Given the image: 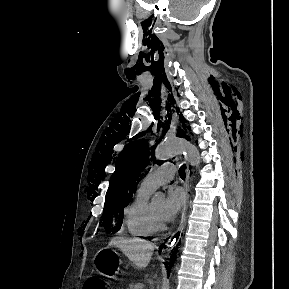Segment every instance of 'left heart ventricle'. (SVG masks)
<instances>
[{
	"instance_id": "b2bd125f",
	"label": "left heart ventricle",
	"mask_w": 289,
	"mask_h": 289,
	"mask_svg": "<svg viewBox=\"0 0 289 289\" xmlns=\"http://www.w3.org/2000/svg\"><path fill=\"white\" fill-rule=\"evenodd\" d=\"M153 212L155 213L157 219L160 222H164L165 220L163 219V209H164V200L163 199H159V200H155L151 203Z\"/></svg>"
}]
</instances>
